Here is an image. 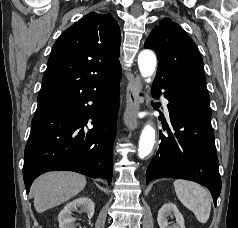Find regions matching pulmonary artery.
I'll return each instance as SVG.
<instances>
[{"label":"pulmonary artery","mask_w":238,"mask_h":228,"mask_svg":"<svg viewBox=\"0 0 238 228\" xmlns=\"http://www.w3.org/2000/svg\"><path fill=\"white\" fill-rule=\"evenodd\" d=\"M163 102H164L165 110H166V112H168V109H167V100H166V99H163Z\"/></svg>","instance_id":"1"}]
</instances>
